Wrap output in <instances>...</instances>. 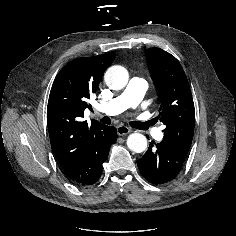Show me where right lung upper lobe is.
<instances>
[{
    "instance_id": "obj_1",
    "label": "right lung upper lobe",
    "mask_w": 236,
    "mask_h": 236,
    "mask_svg": "<svg viewBox=\"0 0 236 236\" xmlns=\"http://www.w3.org/2000/svg\"><path fill=\"white\" fill-rule=\"evenodd\" d=\"M110 52L95 57H81L69 62L56 76L47 106L51 148L65 173L75 169L91 138L103 128L95 121L81 122L87 100L94 94L103 73L114 60Z\"/></svg>"
}]
</instances>
